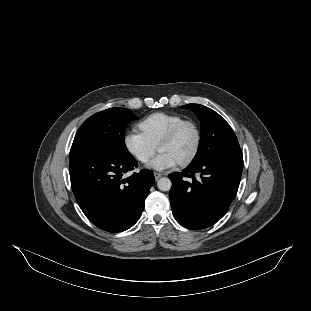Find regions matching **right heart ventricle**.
<instances>
[{
	"mask_svg": "<svg viewBox=\"0 0 311 311\" xmlns=\"http://www.w3.org/2000/svg\"><path fill=\"white\" fill-rule=\"evenodd\" d=\"M185 116L174 113L154 112L137 122V128L144 139L152 146L157 147L166 133Z\"/></svg>",
	"mask_w": 311,
	"mask_h": 311,
	"instance_id": "1",
	"label": "right heart ventricle"
}]
</instances>
